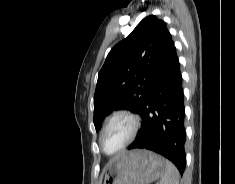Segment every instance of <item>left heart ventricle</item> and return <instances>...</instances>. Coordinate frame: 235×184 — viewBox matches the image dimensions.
Returning a JSON list of instances; mask_svg holds the SVG:
<instances>
[{"instance_id":"obj_1","label":"left heart ventricle","mask_w":235,"mask_h":184,"mask_svg":"<svg viewBox=\"0 0 235 184\" xmlns=\"http://www.w3.org/2000/svg\"><path fill=\"white\" fill-rule=\"evenodd\" d=\"M131 122L126 117H118L102 135L101 145L108 154L117 152L131 132Z\"/></svg>"}]
</instances>
